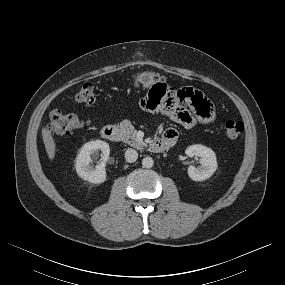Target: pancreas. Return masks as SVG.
Listing matches in <instances>:
<instances>
[{"instance_id": "pancreas-1", "label": "pancreas", "mask_w": 285, "mask_h": 285, "mask_svg": "<svg viewBox=\"0 0 285 285\" xmlns=\"http://www.w3.org/2000/svg\"><path fill=\"white\" fill-rule=\"evenodd\" d=\"M120 132L122 134V140L130 146L140 148L144 144L136 137V130L129 121H123L119 125Z\"/></svg>"}]
</instances>
